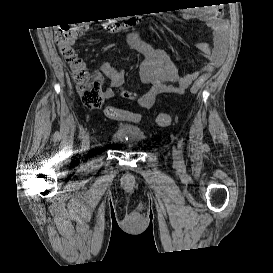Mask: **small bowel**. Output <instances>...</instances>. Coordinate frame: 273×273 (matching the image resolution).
Wrapping results in <instances>:
<instances>
[{"label":"small bowel","instance_id":"1","mask_svg":"<svg viewBox=\"0 0 273 273\" xmlns=\"http://www.w3.org/2000/svg\"><path fill=\"white\" fill-rule=\"evenodd\" d=\"M184 17L198 18L212 30V42L202 41L197 45L208 64L199 71L179 76L175 64L163 49L156 48L136 32H131L128 35V41L130 47L142 57L139 69L140 79L144 85L149 86V89L144 93L124 89L122 85L126 78L125 69L103 61L100 64V72L94 73V77L108 83V88L103 94L105 99L111 100L119 94L124 98L135 100L142 108L149 109L159 95L183 94L198 77L211 73L222 65L228 51L230 29L229 21L224 18L222 9L219 6L188 9L184 12ZM121 121L130 120L125 116Z\"/></svg>","mask_w":273,"mask_h":273}]
</instances>
